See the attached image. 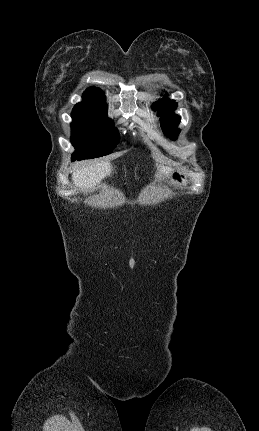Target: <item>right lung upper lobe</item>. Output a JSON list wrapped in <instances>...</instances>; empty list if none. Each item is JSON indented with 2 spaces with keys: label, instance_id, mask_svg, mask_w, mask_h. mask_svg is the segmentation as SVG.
I'll return each mask as SVG.
<instances>
[{
  "label": "right lung upper lobe",
  "instance_id": "obj_1",
  "mask_svg": "<svg viewBox=\"0 0 259 431\" xmlns=\"http://www.w3.org/2000/svg\"><path fill=\"white\" fill-rule=\"evenodd\" d=\"M104 102V93L100 88L90 87L83 94L81 103H101Z\"/></svg>",
  "mask_w": 259,
  "mask_h": 431
}]
</instances>
